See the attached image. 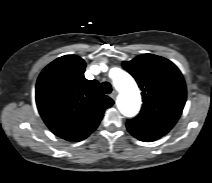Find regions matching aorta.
Returning <instances> with one entry per match:
<instances>
[{"mask_svg": "<svg viewBox=\"0 0 212 183\" xmlns=\"http://www.w3.org/2000/svg\"><path fill=\"white\" fill-rule=\"evenodd\" d=\"M115 88L119 91L118 108L127 117L136 115L140 109L141 96L134 79L120 68L110 71Z\"/></svg>", "mask_w": 212, "mask_h": 183, "instance_id": "obj_1", "label": "aorta"}]
</instances>
